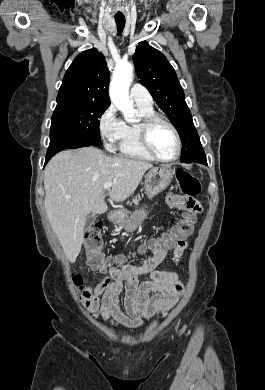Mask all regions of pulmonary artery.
Segmentation results:
<instances>
[{"instance_id":"1","label":"pulmonary artery","mask_w":265,"mask_h":390,"mask_svg":"<svg viewBox=\"0 0 265 390\" xmlns=\"http://www.w3.org/2000/svg\"><path fill=\"white\" fill-rule=\"evenodd\" d=\"M130 96L136 105L152 106V98L147 89L139 84L132 85Z\"/></svg>"}]
</instances>
